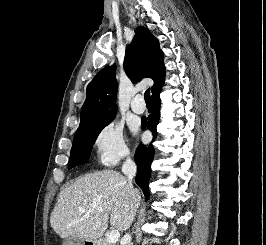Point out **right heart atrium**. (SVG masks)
I'll return each instance as SVG.
<instances>
[{
    "label": "right heart atrium",
    "instance_id": "d8ad5b80",
    "mask_svg": "<svg viewBox=\"0 0 266 245\" xmlns=\"http://www.w3.org/2000/svg\"><path fill=\"white\" fill-rule=\"evenodd\" d=\"M93 146L96 161L104 167H114L130 155L123 127L117 122L102 126L93 139Z\"/></svg>",
    "mask_w": 266,
    "mask_h": 245
}]
</instances>
